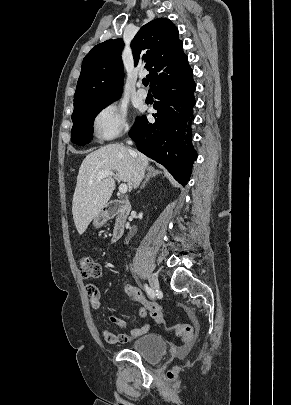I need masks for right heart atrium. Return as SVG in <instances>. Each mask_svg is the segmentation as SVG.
<instances>
[{"label":"right heart atrium","mask_w":291,"mask_h":405,"mask_svg":"<svg viewBox=\"0 0 291 405\" xmlns=\"http://www.w3.org/2000/svg\"><path fill=\"white\" fill-rule=\"evenodd\" d=\"M128 128L127 109L119 103L107 104L93 118L94 135L99 141L112 140Z\"/></svg>","instance_id":"right-heart-atrium-1"}]
</instances>
